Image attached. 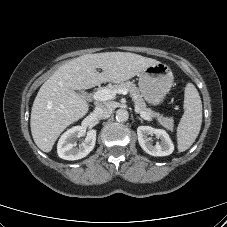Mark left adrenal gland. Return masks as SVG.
Wrapping results in <instances>:
<instances>
[{
	"label": "left adrenal gland",
	"mask_w": 227,
	"mask_h": 227,
	"mask_svg": "<svg viewBox=\"0 0 227 227\" xmlns=\"http://www.w3.org/2000/svg\"><path fill=\"white\" fill-rule=\"evenodd\" d=\"M137 119L140 120L141 122H143V119L138 116H137Z\"/></svg>",
	"instance_id": "1"
}]
</instances>
